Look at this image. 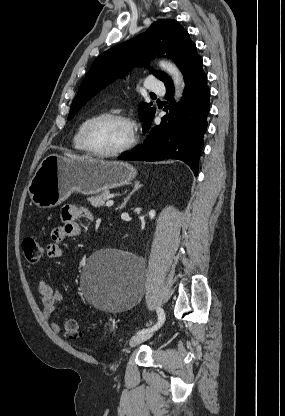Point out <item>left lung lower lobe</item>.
Listing matches in <instances>:
<instances>
[{"instance_id":"1","label":"left lung lower lobe","mask_w":285,"mask_h":416,"mask_svg":"<svg viewBox=\"0 0 285 416\" xmlns=\"http://www.w3.org/2000/svg\"><path fill=\"white\" fill-rule=\"evenodd\" d=\"M185 79L184 97L178 105L169 108L160 125L151 128L152 119L145 125L149 130L146 140L118 159L135 161H161L168 158L185 162L198 173V159L203 148V135L207 129L210 109V90L207 75L202 69V58L192 60L182 71ZM165 98L173 104V82L165 84Z\"/></svg>"}]
</instances>
